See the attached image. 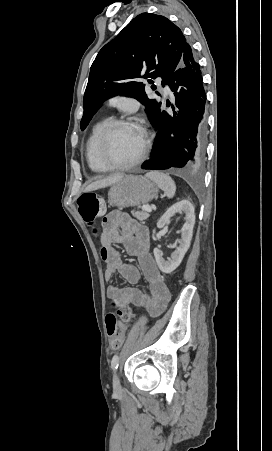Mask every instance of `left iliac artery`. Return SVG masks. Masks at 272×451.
I'll list each match as a JSON object with an SVG mask.
<instances>
[{
  "label": "left iliac artery",
  "instance_id": "44dca946",
  "mask_svg": "<svg viewBox=\"0 0 272 451\" xmlns=\"http://www.w3.org/2000/svg\"><path fill=\"white\" fill-rule=\"evenodd\" d=\"M111 366L113 368V370H117L118 366H119V357L118 355H114L111 361Z\"/></svg>",
  "mask_w": 272,
  "mask_h": 451
}]
</instances>
